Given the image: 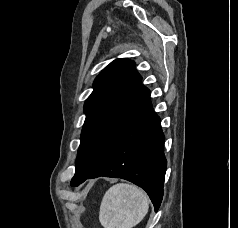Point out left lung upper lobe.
Returning <instances> with one entry per match:
<instances>
[{
    "label": "left lung upper lobe",
    "instance_id": "1",
    "mask_svg": "<svg viewBox=\"0 0 238 228\" xmlns=\"http://www.w3.org/2000/svg\"><path fill=\"white\" fill-rule=\"evenodd\" d=\"M93 88L84 105L86 119L74 176L89 174L98 166L148 90L128 59L111 62L96 77Z\"/></svg>",
    "mask_w": 238,
    "mask_h": 228
}]
</instances>
